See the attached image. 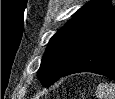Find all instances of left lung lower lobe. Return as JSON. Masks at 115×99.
I'll return each instance as SVG.
<instances>
[{"instance_id": "left-lung-lower-lobe-1", "label": "left lung lower lobe", "mask_w": 115, "mask_h": 99, "mask_svg": "<svg viewBox=\"0 0 115 99\" xmlns=\"http://www.w3.org/2000/svg\"><path fill=\"white\" fill-rule=\"evenodd\" d=\"M79 72H93L115 80V28L83 52L63 76Z\"/></svg>"}]
</instances>
